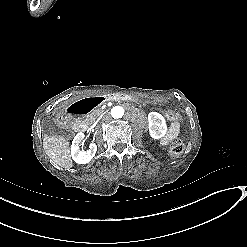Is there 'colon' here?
<instances>
[{
  "mask_svg": "<svg viewBox=\"0 0 247 247\" xmlns=\"http://www.w3.org/2000/svg\"><path fill=\"white\" fill-rule=\"evenodd\" d=\"M163 115L171 123H174L176 121L182 123L184 121V117L182 115H179V113L176 111H171L169 109H166L164 110ZM184 148H185V141L184 138L181 137L173 142V144L168 150V154L171 158H177L183 152Z\"/></svg>",
  "mask_w": 247,
  "mask_h": 247,
  "instance_id": "5ec220e1",
  "label": "colon"
}]
</instances>
